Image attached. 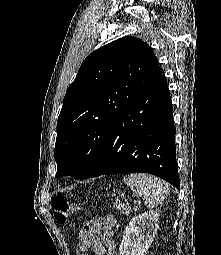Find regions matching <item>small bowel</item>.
<instances>
[{"label":"small bowel","mask_w":221,"mask_h":255,"mask_svg":"<svg viewBox=\"0 0 221 255\" xmlns=\"http://www.w3.org/2000/svg\"><path fill=\"white\" fill-rule=\"evenodd\" d=\"M114 219L100 218L84 225L77 240V255H116V242L113 237Z\"/></svg>","instance_id":"1"}]
</instances>
